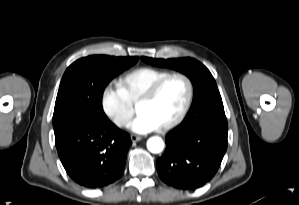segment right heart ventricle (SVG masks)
Listing matches in <instances>:
<instances>
[{"label":"right heart ventricle","instance_id":"right-heart-ventricle-1","mask_svg":"<svg viewBox=\"0 0 299 205\" xmlns=\"http://www.w3.org/2000/svg\"><path fill=\"white\" fill-rule=\"evenodd\" d=\"M168 73L170 72L154 67H139L122 75L117 80V85L128 101L135 104L155 81Z\"/></svg>","mask_w":299,"mask_h":205}]
</instances>
